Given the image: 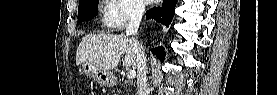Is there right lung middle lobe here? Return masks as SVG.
<instances>
[{"mask_svg": "<svg viewBox=\"0 0 277 95\" xmlns=\"http://www.w3.org/2000/svg\"><path fill=\"white\" fill-rule=\"evenodd\" d=\"M99 0H82L79 2L78 21H87L97 14Z\"/></svg>", "mask_w": 277, "mask_h": 95, "instance_id": "obj_1", "label": "right lung middle lobe"}]
</instances>
